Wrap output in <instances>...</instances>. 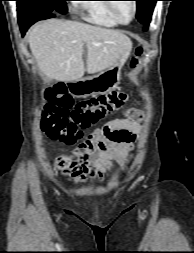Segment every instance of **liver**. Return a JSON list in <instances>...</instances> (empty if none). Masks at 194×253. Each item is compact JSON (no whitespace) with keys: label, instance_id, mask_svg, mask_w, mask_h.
<instances>
[{"label":"liver","instance_id":"1","mask_svg":"<svg viewBox=\"0 0 194 253\" xmlns=\"http://www.w3.org/2000/svg\"><path fill=\"white\" fill-rule=\"evenodd\" d=\"M28 43L39 69L56 81L83 77L84 43L89 74L111 67L122 55L127 59L132 49L130 38L117 30L59 19L36 23L28 32Z\"/></svg>","mask_w":194,"mask_h":253}]
</instances>
